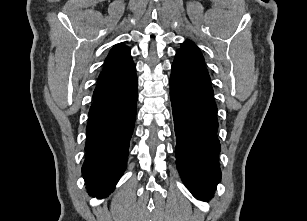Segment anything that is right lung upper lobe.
<instances>
[{
  "mask_svg": "<svg viewBox=\"0 0 307 221\" xmlns=\"http://www.w3.org/2000/svg\"><path fill=\"white\" fill-rule=\"evenodd\" d=\"M135 78L136 67L130 49L124 44L115 45L104 62L93 96L121 89Z\"/></svg>",
  "mask_w": 307,
  "mask_h": 221,
  "instance_id": "1",
  "label": "right lung upper lobe"
}]
</instances>
